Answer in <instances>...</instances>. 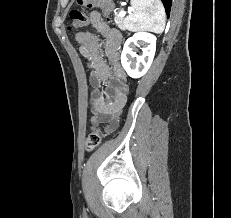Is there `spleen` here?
<instances>
[{
	"mask_svg": "<svg viewBox=\"0 0 231 218\" xmlns=\"http://www.w3.org/2000/svg\"><path fill=\"white\" fill-rule=\"evenodd\" d=\"M132 11L124 19L129 31L140 30L162 33L165 28L166 14L160 0H131Z\"/></svg>",
	"mask_w": 231,
	"mask_h": 218,
	"instance_id": "3e777b00",
	"label": "spleen"
}]
</instances>
